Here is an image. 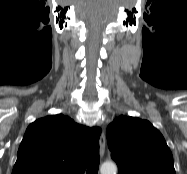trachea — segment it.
Returning a JSON list of instances; mask_svg holds the SVG:
<instances>
[{
    "label": "trachea",
    "instance_id": "obj_1",
    "mask_svg": "<svg viewBox=\"0 0 187 174\" xmlns=\"http://www.w3.org/2000/svg\"><path fill=\"white\" fill-rule=\"evenodd\" d=\"M99 163H100L99 156L91 157L87 168V174H98Z\"/></svg>",
    "mask_w": 187,
    "mask_h": 174
}]
</instances>
